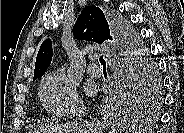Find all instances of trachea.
<instances>
[{
  "label": "trachea",
  "mask_w": 184,
  "mask_h": 133,
  "mask_svg": "<svg viewBox=\"0 0 184 133\" xmlns=\"http://www.w3.org/2000/svg\"><path fill=\"white\" fill-rule=\"evenodd\" d=\"M99 62H100V64L105 68L106 67V61H105V59L103 58V56H101L100 58H99Z\"/></svg>",
  "instance_id": "trachea-1"
}]
</instances>
